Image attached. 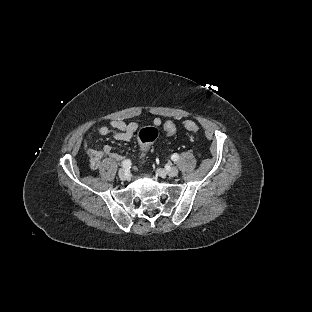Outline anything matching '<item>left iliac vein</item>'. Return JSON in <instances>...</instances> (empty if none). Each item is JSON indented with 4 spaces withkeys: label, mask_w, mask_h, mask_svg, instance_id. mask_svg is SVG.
<instances>
[{
    "label": "left iliac vein",
    "mask_w": 312,
    "mask_h": 312,
    "mask_svg": "<svg viewBox=\"0 0 312 312\" xmlns=\"http://www.w3.org/2000/svg\"><path fill=\"white\" fill-rule=\"evenodd\" d=\"M162 170H159V173H161ZM166 174L170 177H174L178 174V168L177 167H170L168 169L165 170Z\"/></svg>",
    "instance_id": "obj_1"
}]
</instances>
